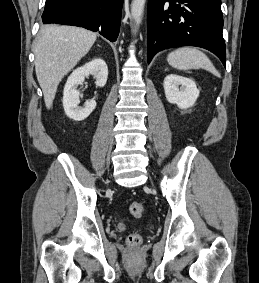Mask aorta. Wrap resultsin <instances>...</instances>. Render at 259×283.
<instances>
[{"label":"aorta","mask_w":259,"mask_h":283,"mask_svg":"<svg viewBox=\"0 0 259 283\" xmlns=\"http://www.w3.org/2000/svg\"><path fill=\"white\" fill-rule=\"evenodd\" d=\"M146 0H133L131 5V16L134 22L138 25L144 12Z\"/></svg>","instance_id":"1"}]
</instances>
